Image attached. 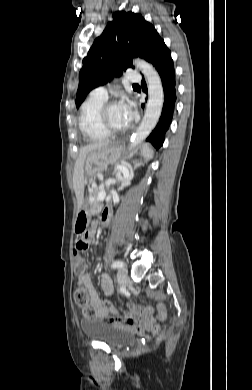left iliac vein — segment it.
I'll list each match as a JSON object with an SVG mask.
<instances>
[{"instance_id":"1","label":"left iliac vein","mask_w":252,"mask_h":390,"mask_svg":"<svg viewBox=\"0 0 252 390\" xmlns=\"http://www.w3.org/2000/svg\"><path fill=\"white\" fill-rule=\"evenodd\" d=\"M117 279H118V282L123 287L126 288L129 285L130 279H129L127 272L124 268H121L118 270Z\"/></svg>"}]
</instances>
